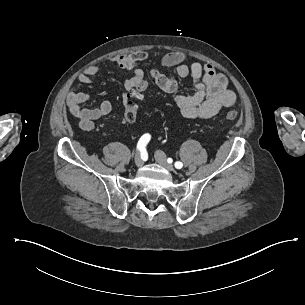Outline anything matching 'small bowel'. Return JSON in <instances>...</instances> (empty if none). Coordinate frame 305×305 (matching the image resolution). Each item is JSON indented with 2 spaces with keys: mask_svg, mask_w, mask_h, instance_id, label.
<instances>
[{
  "mask_svg": "<svg viewBox=\"0 0 305 305\" xmlns=\"http://www.w3.org/2000/svg\"><path fill=\"white\" fill-rule=\"evenodd\" d=\"M148 58L146 51H137L129 55H116L109 58L111 63L118 67L132 71V76L125 80V92L121 97L124 107L134 86L146 81L142 63ZM186 55L182 52H171L162 58V66L175 67L180 78L190 76L194 83V92L190 95L178 94L174 97L183 117L188 119L205 120L215 116L222 108L232 106L236 101L235 93L228 88L227 78L217 72L212 65L194 62L185 64ZM104 68L100 65L87 67L79 77V82L85 85L92 83V78L100 74ZM150 75L155 84L164 92L174 93L178 89V81L174 77L166 76L156 68L150 69ZM147 82V81H146ZM90 98L86 92L76 91L72 88L67 95L69 112L79 120V127L84 131H92L95 121L109 115L112 103L104 100L95 108H84L82 104Z\"/></svg>",
  "mask_w": 305,
  "mask_h": 305,
  "instance_id": "c3829d8e",
  "label": "small bowel"
}]
</instances>
